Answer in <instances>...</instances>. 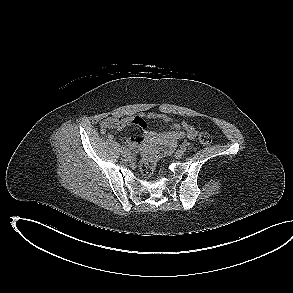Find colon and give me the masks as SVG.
<instances>
[{
	"mask_svg": "<svg viewBox=\"0 0 293 293\" xmlns=\"http://www.w3.org/2000/svg\"><path fill=\"white\" fill-rule=\"evenodd\" d=\"M198 139L203 145H210L212 143V137L207 132H201ZM176 146L177 144L173 142H167L151 149L140 162L139 170L141 175L150 177L154 172L157 161L172 153Z\"/></svg>",
	"mask_w": 293,
	"mask_h": 293,
	"instance_id": "colon-1",
	"label": "colon"
}]
</instances>
